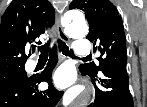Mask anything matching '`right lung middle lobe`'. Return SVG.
I'll return each mask as SVG.
<instances>
[{"instance_id": "dd1d6c3e", "label": "right lung middle lobe", "mask_w": 147, "mask_h": 107, "mask_svg": "<svg viewBox=\"0 0 147 107\" xmlns=\"http://www.w3.org/2000/svg\"><path fill=\"white\" fill-rule=\"evenodd\" d=\"M27 78L24 65L0 69V88Z\"/></svg>"}]
</instances>
